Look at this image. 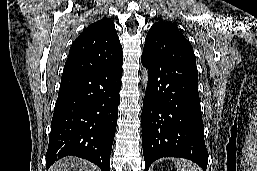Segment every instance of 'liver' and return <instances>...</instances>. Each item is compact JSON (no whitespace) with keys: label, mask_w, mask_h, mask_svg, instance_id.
Instances as JSON below:
<instances>
[{"label":"liver","mask_w":257,"mask_h":171,"mask_svg":"<svg viewBox=\"0 0 257 171\" xmlns=\"http://www.w3.org/2000/svg\"><path fill=\"white\" fill-rule=\"evenodd\" d=\"M49 171H93L92 165L76 157H66L57 161Z\"/></svg>","instance_id":"obj_1"}]
</instances>
